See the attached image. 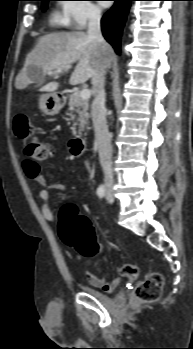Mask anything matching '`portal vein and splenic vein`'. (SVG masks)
I'll use <instances>...</instances> for the list:
<instances>
[{"mask_svg": "<svg viewBox=\"0 0 193 349\" xmlns=\"http://www.w3.org/2000/svg\"><path fill=\"white\" fill-rule=\"evenodd\" d=\"M62 72H63L62 69H58V70H56V71H54V72H50L49 75L60 74V73H62ZM90 95H91V92H90V90L87 89V88L82 89L81 92H80V96H81V98H83V99H89V98H90Z\"/></svg>", "mask_w": 193, "mask_h": 349, "instance_id": "1", "label": "portal vein and splenic vein"}]
</instances>
